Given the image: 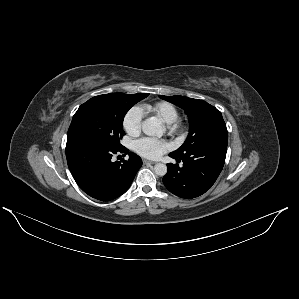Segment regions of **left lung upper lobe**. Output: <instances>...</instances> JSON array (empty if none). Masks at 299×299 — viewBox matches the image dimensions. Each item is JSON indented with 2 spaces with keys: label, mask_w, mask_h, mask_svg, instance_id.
Listing matches in <instances>:
<instances>
[{
  "label": "left lung upper lobe",
  "mask_w": 299,
  "mask_h": 299,
  "mask_svg": "<svg viewBox=\"0 0 299 299\" xmlns=\"http://www.w3.org/2000/svg\"><path fill=\"white\" fill-rule=\"evenodd\" d=\"M184 109L189 117L190 130L184 144L172 152L175 156L185 153L206 143L227 141L228 132L222 114L214 106L204 100L183 96H159Z\"/></svg>",
  "instance_id": "obj_1"
}]
</instances>
